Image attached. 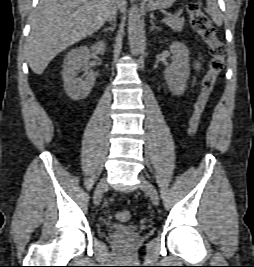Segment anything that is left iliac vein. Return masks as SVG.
I'll return each mask as SVG.
<instances>
[{
	"mask_svg": "<svg viewBox=\"0 0 254 267\" xmlns=\"http://www.w3.org/2000/svg\"><path fill=\"white\" fill-rule=\"evenodd\" d=\"M139 180L140 188L144 189L148 193L153 204L157 206L159 204V197L154 185L143 176H140Z\"/></svg>",
	"mask_w": 254,
	"mask_h": 267,
	"instance_id": "1",
	"label": "left iliac vein"
}]
</instances>
